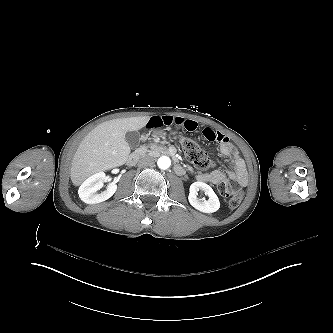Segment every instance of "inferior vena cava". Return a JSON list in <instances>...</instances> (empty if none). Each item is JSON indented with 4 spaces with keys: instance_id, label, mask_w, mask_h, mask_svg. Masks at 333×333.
<instances>
[{
    "instance_id": "1",
    "label": "inferior vena cava",
    "mask_w": 333,
    "mask_h": 333,
    "mask_svg": "<svg viewBox=\"0 0 333 333\" xmlns=\"http://www.w3.org/2000/svg\"><path fill=\"white\" fill-rule=\"evenodd\" d=\"M155 164V159L151 156H144L138 161V167L144 168L148 166H153Z\"/></svg>"
}]
</instances>
